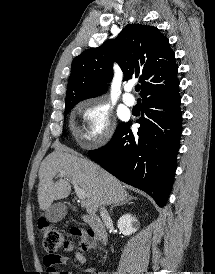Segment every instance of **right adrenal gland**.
Listing matches in <instances>:
<instances>
[{
    "label": "right adrenal gland",
    "instance_id": "1",
    "mask_svg": "<svg viewBox=\"0 0 215 274\" xmlns=\"http://www.w3.org/2000/svg\"><path fill=\"white\" fill-rule=\"evenodd\" d=\"M131 199H133V197H129V199L126 200L125 202H121V203H117V204L112 205L111 208H110V212L112 213L113 208L116 207V206L124 205V204H127V203L129 204V200H131Z\"/></svg>",
    "mask_w": 215,
    "mask_h": 274
}]
</instances>
